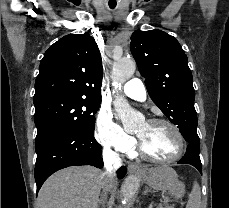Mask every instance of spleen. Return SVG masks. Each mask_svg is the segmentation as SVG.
I'll list each match as a JSON object with an SVG mask.
<instances>
[{
    "mask_svg": "<svg viewBox=\"0 0 229 208\" xmlns=\"http://www.w3.org/2000/svg\"><path fill=\"white\" fill-rule=\"evenodd\" d=\"M201 204V192L199 188V184L195 182L193 186V190L189 196L187 208H200Z\"/></svg>",
    "mask_w": 229,
    "mask_h": 208,
    "instance_id": "3e777b00",
    "label": "spleen"
}]
</instances>
